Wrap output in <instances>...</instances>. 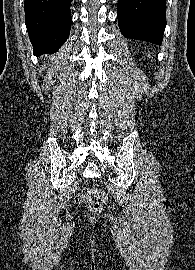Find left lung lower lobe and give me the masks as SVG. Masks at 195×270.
Returning <instances> with one entry per match:
<instances>
[{
  "label": "left lung lower lobe",
  "instance_id": "left-lung-lower-lobe-1",
  "mask_svg": "<svg viewBox=\"0 0 195 270\" xmlns=\"http://www.w3.org/2000/svg\"><path fill=\"white\" fill-rule=\"evenodd\" d=\"M118 23L129 39L162 44L166 26V0H118Z\"/></svg>",
  "mask_w": 195,
  "mask_h": 270
}]
</instances>
